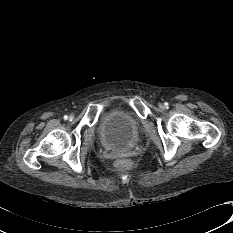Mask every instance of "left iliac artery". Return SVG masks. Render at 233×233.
<instances>
[{
	"instance_id": "obj_1",
	"label": "left iliac artery",
	"mask_w": 233,
	"mask_h": 233,
	"mask_svg": "<svg viewBox=\"0 0 233 233\" xmlns=\"http://www.w3.org/2000/svg\"><path fill=\"white\" fill-rule=\"evenodd\" d=\"M165 105L168 106V103L166 102Z\"/></svg>"
}]
</instances>
